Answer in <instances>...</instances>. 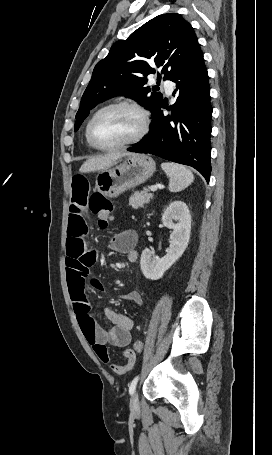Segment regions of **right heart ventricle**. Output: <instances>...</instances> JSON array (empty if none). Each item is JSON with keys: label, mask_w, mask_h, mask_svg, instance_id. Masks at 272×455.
Listing matches in <instances>:
<instances>
[{"label": "right heart ventricle", "mask_w": 272, "mask_h": 455, "mask_svg": "<svg viewBox=\"0 0 272 455\" xmlns=\"http://www.w3.org/2000/svg\"><path fill=\"white\" fill-rule=\"evenodd\" d=\"M85 136H86V140H87L88 147H89V148H93V147L90 145V143L88 142L87 134H86V133H85Z\"/></svg>", "instance_id": "1"}]
</instances>
